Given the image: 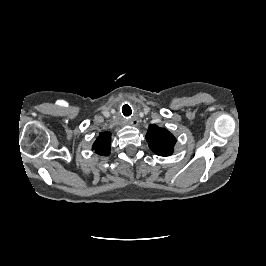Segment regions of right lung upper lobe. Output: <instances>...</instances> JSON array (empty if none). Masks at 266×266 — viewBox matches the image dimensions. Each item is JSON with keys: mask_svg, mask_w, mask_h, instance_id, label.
Returning a JSON list of instances; mask_svg holds the SVG:
<instances>
[{"mask_svg": "<svg viewBox=\"0 0 266 266\" xmlns=\"http://www.w3.org/2000/svg\"><path fill=\"white\" fill-rule=\"evenodd\" d=\"M110 145H111V133L103 132L97 138L92 148L95 151V153L106 156L109 155L110 153Z\"/></svg>", "mask_w": 266, "mask_h": 266, "instance_id": "cb5924a9", "label": "right lung upper lobe"}]
</instances>
